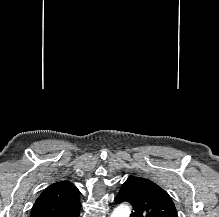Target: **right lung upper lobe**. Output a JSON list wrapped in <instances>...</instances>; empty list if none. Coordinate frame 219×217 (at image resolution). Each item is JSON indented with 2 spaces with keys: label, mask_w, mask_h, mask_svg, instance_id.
<instances>
[{
  "label": "right lung upper lobe",
  "mask_w": 219,
  "mask_h": 217,
  "mask_svg": "<svg viewBox=\"0 0 219 217\" xmlns=\"http://www.w3.org/2000/svg\"><path fill=\"white\" fill-rule=\"evenodd\" d=\"M80 208L78 189L64 180L51 184L41 193L30 217H75Z\"/></svg>",
  "instance_id": "cb5924a9"
}]
</instances>
